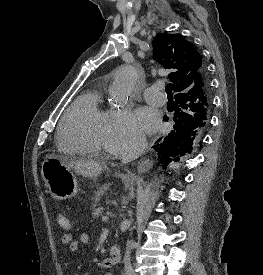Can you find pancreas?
I'll return each instance as SVG.
<instances>
[{"label": "pancreas", "instance_id": "pancreas-1", "mask_svg": "<svg viewBox=\"0 0 263 275\" xmlns=\"http://www.w3.org/2000/svg\"><path fill=\"white\" fill-rule=\"evenodd\" d=\"M100 196H101V193H96L93 200H94V204L92 205V217L93 218H98L100 215H102L103 211H104V208L103 207H100L98 205V201L100 200Z\"/></svg>", "mask_w": 263, "mask_h": 275}]
</instances>
